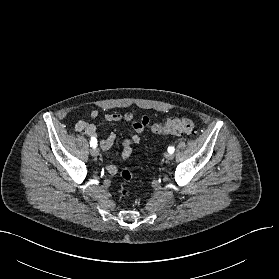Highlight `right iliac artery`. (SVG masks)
Segmentation results:
<instances>
[{"mask_svg":"<svg viewBox=\"0 0 279 279\" xmlns=\"http://www.w3.org/2000/svg\"><path fill=\"white\" fill-rule=\"evenodd\" d=\"M90 146L95 148L97 146V140L95 138H92L90 141Z\"/></svg>","mask_w":279,"mask_h":279,"instance_id":"right-iliac-artery-1","label":"right iliac artery"}]
</instances>
